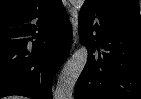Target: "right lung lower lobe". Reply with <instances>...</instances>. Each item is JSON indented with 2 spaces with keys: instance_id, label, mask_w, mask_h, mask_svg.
I'll use <instances>...</instances> for the list:
<instances>
[{
  "instance_id": "obj_1",
  "label": "right lung lower lobe",
  "mask_w": 141,
  "mask_h": 99,
  "mask_svg": "<svg viewBox=\"0 0 141 99\" xmlns=\"http://www.w3.org/2000/svg\"><path fill=\"white\" fill-rule=\"evenodd\" d=\"M71 39L61 0L0 19V98L52 99L51 82L68 56Z\"/></svg>"
}]
</instances>
